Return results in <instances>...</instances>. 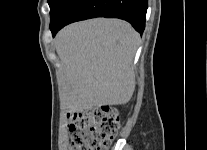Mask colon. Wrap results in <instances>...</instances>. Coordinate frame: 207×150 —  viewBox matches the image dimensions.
<instances>
[{
  "instance_id": "colon-1",
  "label": "colon",
  "mask_w": 207,
  "mask_h": 150,
  "mask_svg": "<svg viewBox=\"0 0 207 150\" xmlns=\"http://www.w3.org/2000/svg\"><path fill=\"white\" fill-rule=\"evenodd\" d=\"M74 134L70 150H107L119 129V119L108 108H96L69 116Z\"/></svg>"
}]
</instances>
